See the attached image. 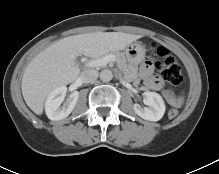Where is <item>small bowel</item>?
Wrapping results in <instances>:
<instances>
[{
	"mask_svg": "<svg viewBox=\"0 0 219 174\" xmlns=\"http://www.w3.org/2000/svg\"><path fill=\"white\" fill-rule=\"evenodd\" d=\"M140 74L144 79L146 85L153 90H161L163 83L160 78L154 73L153 64L150 61H146L140 68ZM165 97L168 103L172 106L178 107L182 104V97L176 96L170 92L165 91Z\"/></svg>",
	"mask_w": 219,
	"mask_h": 174,
	"instance_id": "small-bowel-1",
	"label": "small bowel"
}]
</instances>
